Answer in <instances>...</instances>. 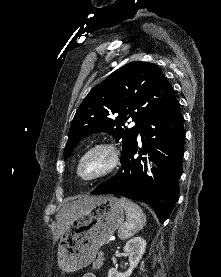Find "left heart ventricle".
<instances>
[{"label":"left heart ventricle","mask_w":221,"mask_h":277,"mask_svg":"<svg viewBox=\"0 0 221 277\" xmlns=\"http://www.w3.org/2000/svg\"><path fill=\"white\" fill-rule=\"evenodd\" d=\"M105 156L96 153L87 158L81 166V174L85 177H89L97 173L105 164Z\"/></svg>","instance_id":"left-heart-ventricle-1"}]
</instances>
